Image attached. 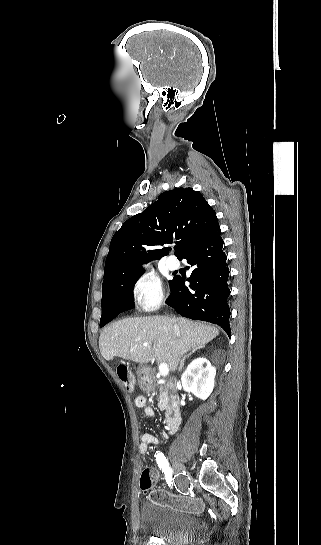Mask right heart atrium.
I'll list each match as a JSON object with an SVG mask.
<instances>
[{
    "label": "right heart atrium",
    "mask_w": 321,
    "mask_h": 545,
    "mask_svg": "<svg viewBox=\"0 0 321 545\" xmlns=\"http://www.w3.org/2000/svg\"><path fill=\"white\" fill-rule=\"evenodd\" d=\"M131 302L141 312H154L165 303L166 296L162 282L152 272L138 274L129 289Z\"/></svg>",
    "instance_id": "1"
}]
</instances>
